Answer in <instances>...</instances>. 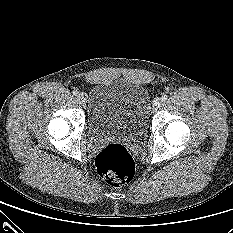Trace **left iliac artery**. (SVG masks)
<instances>
[{"instance_id": "obj_1", "label": "left iliac artery", "mask_w": 233, "mask_h": 233, "mask_svg": "<svg viewBox=\"0 0 233 233\" xmlns=\"http://www.w3.org/2000/svg\"><path fill=\"white\" fill-rule=\"evenodd\" d=\"M167 98H168V95H166V94H162L161 99H162L163 101H166V100H167Z\"/></svg>"}]
</instances>
